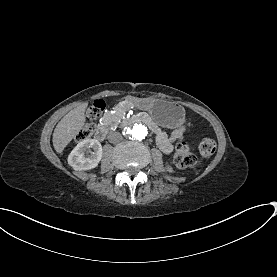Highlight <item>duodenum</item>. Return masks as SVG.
Listing matches in <instances>:
<instances>
[{"label":"duodenum","instance_id":"obj_1","mask_svg":"<svg viewBox=\"0 0 277 277\" xmlns=\"http://www.w3.org/2000/svg\"><path fill=\"white\" fill-rule=\"evenodd\" d=\"M136 123H143L148 126L153 132L157 133L159 131L158 125L155 121L147 114H136L130 117H127L123 121V126L127 127ZM108 133V128L105 125H99L95 132V137L98 140H103Z\"/></svg>","mask_w":277,"mask_h":277}]
</instances>
